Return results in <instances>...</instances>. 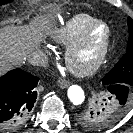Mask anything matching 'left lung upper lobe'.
Wrapping results in <instances>:
<instances>
[{"label": "left lung upper lobe", "instance_id": "1", "mask_svg": "<svg viewBox=\"0 0 133 133\" xmlns=\"http://www.w3.org/2000/svg\"><path fill=\"white\" fill-rule=\"evenodd\" d=\"M129 40L125 55L102 79L103 84H124L133 87V20L128 18ZM97 102V101H96ZM126 109L113 108L107 99L94 108H87L77 114V122L86 129L102 130L116 122Z\"/></svg>", "mask_w": 133, "mask_h": 133}]
</instances>
